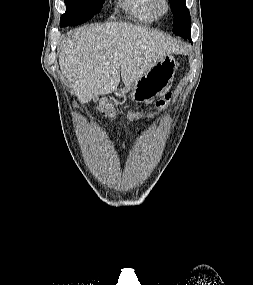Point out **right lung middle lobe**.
Returning a JSON list of instances; mask_svg holds the SVG:
<instances>
[{
  "instance_id": "1",
  "label": "right lung middle lobe",
  "mask_w": 253,
  "mask_h": 285,
  "mask_svg": "<svg viewBox=\"0 0 253 285\" xmlns=\"http://www.w3.org/2000/svg\"><path fill=\"white\" fill-rule=\"evenodd\" d=\"M67 10L61 16L60 26L84 23L98 13L105 0H64Z\"/></svg>"
}]
</instances>
